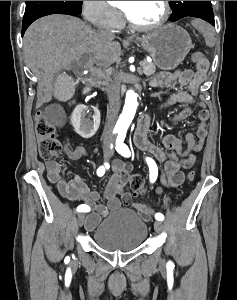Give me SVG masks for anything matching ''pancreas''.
Segmentation results:
<instances>
[{
	"instance_id": "1",
	"label": "pancreas",
	"mask_w": 237,
	"mask_h": 300,
	"mask_svg": "<svg viewBox=\"0 0 237 300\" xmlns=\"http://www.w3.org/2000/svg\"><path fill=\"white\" fill-rule=\"evenodd\" d=\"M156 69L155 63H148V61H145V67H143V73L147 75V77H150V75H154Z\"/></svg>"
}]
</instances>
